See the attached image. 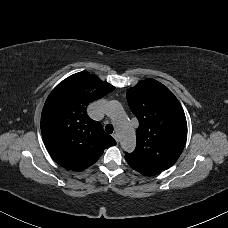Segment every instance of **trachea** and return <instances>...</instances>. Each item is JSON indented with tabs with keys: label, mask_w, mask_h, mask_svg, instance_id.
<instances>
[{
	"label": "trachea",
	"mask_w": 228,
	"mask_h": 228,
	"mask_svg": "<svg viewBox=\"0 0 228 228\" xmlns=\"http://www.w3.org/2000/svg\"><path fill=\"white\" fill-rule=\"evenodd\" d=\"M113 125L112 124H107L106 127H105V131L108 133V134H111L113 133Z\"/></svg>",
	"instance_id": "1"
}]
</instances>
